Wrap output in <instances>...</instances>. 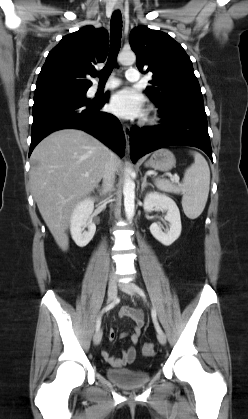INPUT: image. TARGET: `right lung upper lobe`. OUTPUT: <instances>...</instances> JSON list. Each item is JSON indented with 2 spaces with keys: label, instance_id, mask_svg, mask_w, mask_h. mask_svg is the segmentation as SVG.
Listing matches in <instances>:
<instances>
[{
  "label": "right lung upper lobe",
  "instance_id": "obj_1",
  "mask_svg": "<svg viewBox=\"0 0 248 419\" xmlns=\"http://www.w3.org/2000/svg\"><path fill=\"white\" fill-rule=\"evenodd\" d=\"M109 35L105 29L86 26L64 36L48 54L36 82L34 95L64 90H88L87 75L95 74L94 65L104 62Z\"/></svg>",
  "mask_w": 248,
  "mask_h": 419
}]
</instances>
